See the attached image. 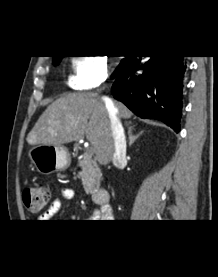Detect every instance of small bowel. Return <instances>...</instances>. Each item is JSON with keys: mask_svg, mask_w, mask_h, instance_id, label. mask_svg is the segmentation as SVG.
Masks as SVG:
<instances>
[{"mask_svg": "<svg viewBox=\"0 0 218 277\" xmlns=\"http://www.w3.org/2000/svg\"><path fill=\"white\" fill-rule=\"evenodd\" d=\"M77 196L76 191L71 188H65L61 191V196L58 198H55L50 207L41 215L42 220H48L51 217H53L56 213H58L63 204L64 200H73Z\"/></svg>", "mask_w": 218, "mask_h": 277, "instance_id": "small-bowel-1", "label": "small bowel"}]
</instances>
